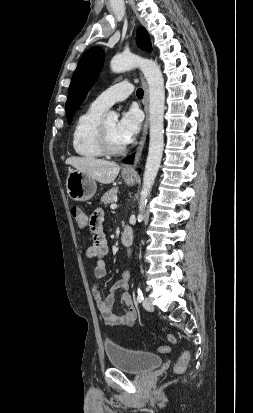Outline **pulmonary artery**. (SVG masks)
I'll list each match as a JSON object with an SVG mask.
<instances>
[{
	"instance_id": "pulmonary-artery-1",
	"label": "pulmonary artery",
	"mask_w": 253,
	"mask_h": 413,
	"mask_svg": "<svg viewBox=\"0 0 253 413\" xmlns=\"http://www.w3.org/2000/svg\"><path fill=\"white\" fill-rule=\"evenodd\" d=\"M133 92V85L130 82L123 81L117 83L103 91L92 102V105L101 110L109 109L114 103L123 101Z\"/></svg>"
}]
</instances>
